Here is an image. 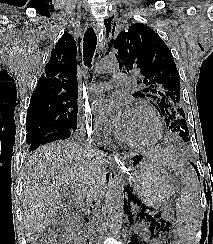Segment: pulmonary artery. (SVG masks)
I'll use <instances>...</instances> for the list:
<instances>
[{
  "label": "pulmonary artery",
  "instance_id": "pulmonary-artery-1",
  "mask_svg": "<svg viewBox=\"0 0 213 244\" xmlns=\"http://www.w3.org/2000/svg\"><path fill=\"white\" fill-rule=\"evenodd\" d=\"M128 81V76L123 73L114 74L110 82H99L92 83L87 87L90 94L98 95L104 93L105 91L111 89L112 87H119L126 84Z\"/></svg>",
  "mask_w": 213,
  "mask_h": 244
}]
</instances>
